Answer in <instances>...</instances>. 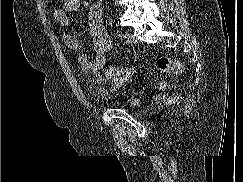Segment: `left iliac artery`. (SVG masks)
Listing matches in <instances>:
<instances>
[{"mask_svg": "<svg viewBox=\"0 0 243 182\" xmlns=\"http://www.w3.org/2000/svg\"><path fill=\"white\" fill-rule=\"evenodd\" d=\"M118 36H119L120 38H125V34H123V33H119Z\"/></svg>", "mask_w": 243, "mask_h": 182, "instance_id": "1", "label": "left iliac artery"}]
</instances>
